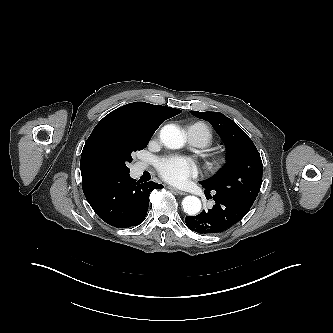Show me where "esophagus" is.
<instances>
[{
  "mask_svg": "<svg viewBox=\"0 0 333 333\" xmlns=\"http://www.w3.org/2000/svg\"><path fill=\"white\" fill-rule=\"evenodd\" d=\"M168 188H169L170 190L176 192V193L179 194V195H186V194H187L186 192L181 191V190H178V189H176L175 187H172V186H168Z\"/></svg>",
  "mask_w": 333,
  "mask_h": 333,
  "instance_id": "34e87169",
  "label": "esophagus"
}]
</instances>
